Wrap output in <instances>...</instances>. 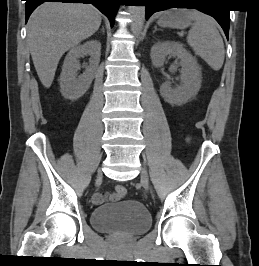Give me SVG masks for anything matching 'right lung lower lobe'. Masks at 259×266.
<instances>
[{"label":"right lung lower lobe","mask_w":259,"mask_h":266,"mask_svg":"<svg viewBox=\"0 0 259 266\" xmlns=\"http://www.w3.org/2000/svg\"><path fill=\"white\" fill-rule=\"evenodd\" d=\"M26 1V22L34 9L43 2H62V3H84L95 5L114 25V17L117 13L121 0H25Z\"/></svg>","instance_id":"98d812e1"}]
</instances>
